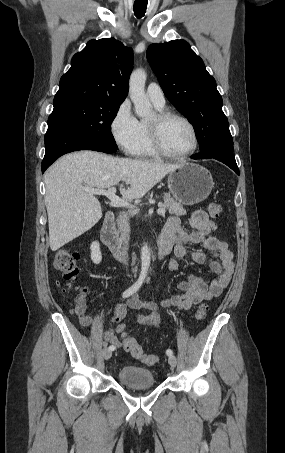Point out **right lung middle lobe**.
<instances>
[{
	"label": "right lung middle lobe",
	"instance_id": "1",
	"mask_svg": "<svg viewBox=\"0 0 285 453\" xmlns=\"http://www.w3.org/2000/svg\"><path fill=\"white\" fill-rule=\"evenodd\" d=\"M121 103L100 97L58 99L53 101L52 115L65 118L100 144L117 150L111 124Z\"/></svg>",
	"mask_w": 285,
	"mask_h": 453
}]
</instances>
